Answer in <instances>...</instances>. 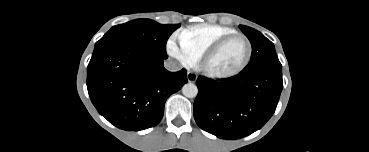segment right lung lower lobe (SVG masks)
I'll return each mask as SVG.
<instances>
[{"label": "right lung lower lobe", "mask_w": 369, "mask_h": 152, "mask_svg": "<svg viewBox=\"0 0 369 152\" xmlns=\"http://www.w3.org/2000/svg\"><path fill=\"white\" fill-rule=\"evenodd\" d=\"M164 59L132 43L94 51L87 67V88L98 112L126 131L157 125L167 98L187 82V71H167Z\"/></svg>", "instance_id": "obj_1"}]
</instances>
